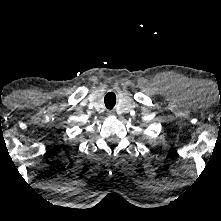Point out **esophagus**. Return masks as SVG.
Here are the masks:
<instances>
[{
    "label": "esophagus",
    "mask_w": 221,
    "mask_h": 221,
    "mask_svg": "<svg viewBox=\"0 0 221 221\" xmlns=\"http://www.w3.org/2000/svg\"><path fill=\"white\" fill-rule=\"evenodd\" d=\"M108 116H114L115 112L113 110H108L106 113Z\"/></svg>",
    "instance_id": "esophagus-1"
}]
</instances>
